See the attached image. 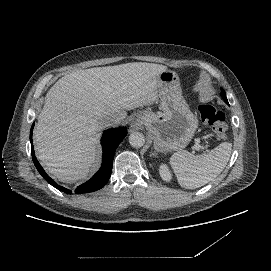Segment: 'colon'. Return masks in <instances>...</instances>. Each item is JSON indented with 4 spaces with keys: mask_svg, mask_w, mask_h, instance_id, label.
Wrapping results in <instances>:
<instances>
[{
    "mask_svg": "<svg viewBox=\"0 0 271 271\" xmlns=\"http://www.w3.org/2000/svg\"><path fill=\"white\" fill-rule=\"evenodd\" d=\"M199 114L204 123L212 126L213 132L219 140H223L227 133V123L224 114L209 103H200Z\"/></svg>",
    "mask_w": 271,
    "mask_h": 271,
    "instance_id": "obj_1",
    "label": "colon"
}]
</instances>
